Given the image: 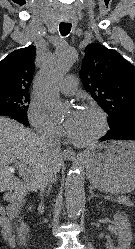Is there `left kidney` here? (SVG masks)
I'll return each mask as SVG.
<instances>
[{
    "mask_svg": "<svg viewBox=\"0 0 135 249\" xmlns=\"http://www.w3.org/2000/svg\"><path fill=\"white\" fill-rule=\"evenodd\" d=\"M114 226L115 230L118 232V246L114 247L112 241L107 240L106 249H130L132 233L128 218L123 214H115Z\"/></svg>",
    "mask_w": 135,
    "mask_h": 249,
    "instance_id": "1",
    "label": "left kidney"
}]
</instances>
